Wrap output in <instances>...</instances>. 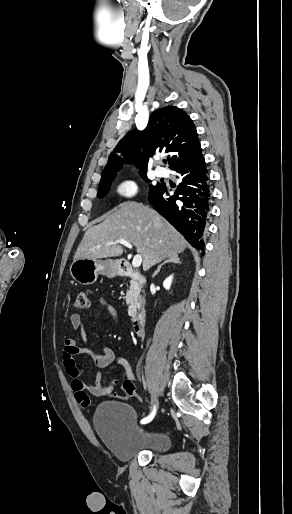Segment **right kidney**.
Here are the masks:
<instances>
[{"mask_svg": "<svg viewBox=\"0 0 292 514\" xmlns=\"http://www.w3.org/2000/svg\"><path fill=\"white\" fill-rule=\"evenodd\" d=\"M172 280H173V276H169V278H166V280H164L163 286H164V288H166V290H169Z\"/></svg>", "mask_w": 292, "mask_h": 514, "instance_id": "obj_1", "label": "right kidney"}]
</instances>
